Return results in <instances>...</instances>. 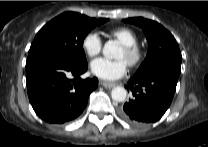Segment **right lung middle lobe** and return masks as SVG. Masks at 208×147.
Returning <instances> with one entry per match:
<instances>
[{"label":"right lung middle lobe","mask_w":208,"mask_h":147,"mask_svg":"<svg viewBox=\"0 0 208 147\" xmlns=\"http://www.w3.org/2000/svg\"><path fill=\"white\" fill-rule=\"evenodd\" d=\"M106 21V18H88L74 12L57 16L35 36L26 64L46 58H63L79 65L87 64L83 41L91 29Z\"/></svg>","instance_id":"right-lung-middle-lobe-1"}]
</instances>
